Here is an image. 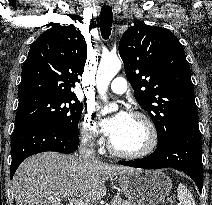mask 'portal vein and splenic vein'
Returning <instances> with one entry per match:
<instances>
[{"label":"portal vein and splenic vein","mask_w":212,"mask_h":205,"mask_svg":"<svg viewBox=\"0 0 212 205\" xmlns=\"http://www.w3.org/2000/svg\"><path fill=\"white\" fill-rule=\"evenodd\" d=\"M70 201V204L73 205H89L88 203L84 202L83 200H80L78 198H68Z\"/></svg>","instance_id":"portal-vein-and-splenic-vein-1"}]
</instances>
